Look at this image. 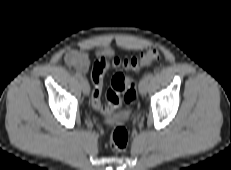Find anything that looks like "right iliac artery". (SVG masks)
<instances>
[{
	"label": "right iliac artery",
	"mask_w": 231,
	"mask_h": 170,
	"mask_svg": "<svg viewBox=\"0 0 231 170\" xmlns=\"http://www.w3.org/2000/svg\"><path fill=\"white\" fill-rule=\"evenodd\" d=\"M75 77L78 78V79H82V75L79 72L75 73Z\"/></svg>",
	"instance_id": "82829eb1"
}]
</instances>
